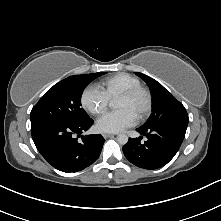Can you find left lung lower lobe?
<instances>
[{"mask_svg": "<svg viewBox=\"0 0 221 221\" xmlns=\"http://www.w3.org/2000/svg\"><path fill=\"white\" fill-rule=\"evenodd\" d=\"M187 124L169 123L156 127L136 129L147 137L130 138L123 146V153L134 165L145 169H157L166 165L179 150L185 137Z\"/></svg>", "mask_w": 221, "mask_h": 221, "instance_id": "left-lung-lower-lobe-1", "label": "left lung lower lobe"}]
</instances>
